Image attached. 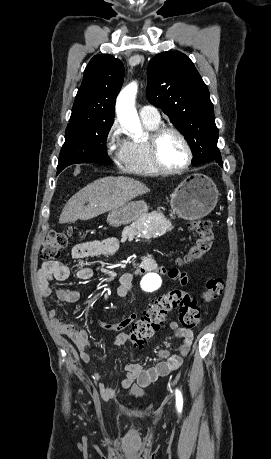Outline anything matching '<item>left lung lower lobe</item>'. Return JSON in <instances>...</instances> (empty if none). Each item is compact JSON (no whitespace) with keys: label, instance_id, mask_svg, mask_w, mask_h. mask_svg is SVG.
Here are the masks:
<instances>
[{"label":"left lung lower lobe","instance_id":"1","mask_svg":"<svg viewBox=\"0 0 271 459\" xmlns=\"http://www.w3.org/2000/svg\"><path fill=\"white\" fill-rule=\"evenodd\" d=\"M214 162H217L221 167L223 166L222 160H221V159H217V160H215Z\"/></svg>","mask_w":271,"mask_h":459}]
</instances>
